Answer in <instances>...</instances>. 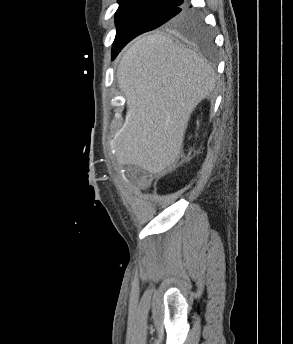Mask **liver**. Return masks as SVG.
<instances>
[{
	"mask_svg": "<svg viewBox=\"0 0 293 344\" xmlns=\"http://www.w3.org/2000/svg\"><path fill=\"white\" fill-rule=\"evenodd\" d=\"M127 113L112 147L121 164L163 172L180 155L195 107L216 86L214 69L164 34L137 39L117 69Z\"/></svg>",
	"mask_w": 293,
	"mask_h": 344,
	"instance_id": "obj_1",
	"label": "liver"
}]
</instances>
